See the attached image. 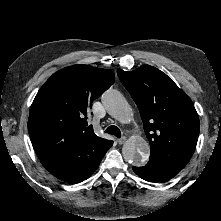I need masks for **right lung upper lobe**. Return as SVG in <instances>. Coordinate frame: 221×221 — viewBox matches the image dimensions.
I'll list each match as a JSON object with an SVG mask.
<instances>
[{"label":"right lung upper lobe","mask_w":221,"mask_h":221,"mask_svg":"<svg viewBox=\"0 0 221 221\" xmlns=\"http://www.w3.org/2000/svg\"><path fill=\"white\" fill-rule=\"evenodd\" d=\"M115 80L111 70L74 65L53 74L30 108L28 132L39 159L100 138L87 124L92 102Z\"/></svg>","instance_id":"cb5924a9"}]
</instances>
